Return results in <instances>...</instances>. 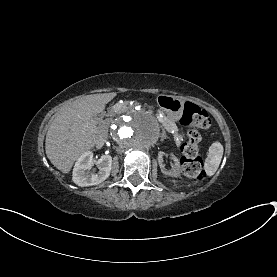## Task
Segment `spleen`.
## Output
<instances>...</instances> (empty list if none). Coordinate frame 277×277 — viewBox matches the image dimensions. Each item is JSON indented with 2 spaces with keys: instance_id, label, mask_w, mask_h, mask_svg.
Here are the masks:
<instances>
[{
  "instance_id": "spleen-1",
  "label": "spleen",
  "mask_w": 277,
  "mask_h": 277,
  "mask_svg": "<svg viewBox=\"0 0 277 277\" xmlns=\"http://www.w3.org/2000/svg\"><path fill=\"white\" fill-rule=\"evenodd\" d=\"M223 146L216 141L209 147V153L205 160L204 169L208 176L214 175L217 171L223 156Z\"/></svg>"
}]
</instances>
